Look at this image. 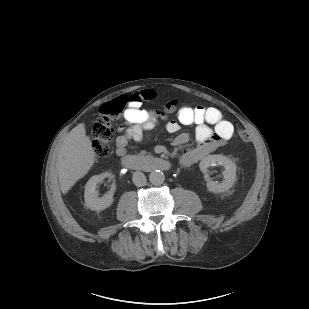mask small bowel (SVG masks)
Wrapping results in <instances>:
<instances>
[{"instance_id":"1","label":"small bowel","mask_w":309,"mask_h":309,"mask_svg":"<svg viewBox=\"0 0 309 309\" xmlns=\"http://www.w3.org/2000/svg\"><path fill=\"white\" fill-rule=\"evenodd\" d=\"M151 90L142 91L129 97L124 118L128 124L121 129V135L117 139L116 153L118 156L126 154V146L129 140L140 141L144 130L153 129L159 122H166V130L176 133L180 126H195V145L183 152L180 158L182 166H190L208 154L221 147L234 134V125L223 118L220 110L214 107L183 106L177 112L176 120H167L163 111H147L143 108V102L154 97ZM189 141L187 133L178 134L174 139L177 146Z\"/></svg>"}]
</instances>
